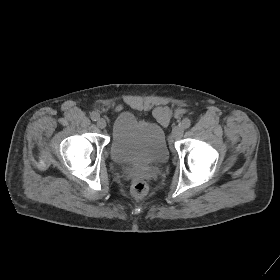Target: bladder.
<instances>
[{
    "mask_svg": "<svg viewBox=\"0 0 280 280\" xmlns=\"http://www.w3.org/2000/svg\"><path fill=\"white\" fill-rule=\"evenodd\" d=\"M109 151L112 160L118 164L156 165L169 158L163 127L139 120L131 112H121L114 119Z\"/></svg>",
    "mask_w": 280,
    "mask_h": 280,
    "instance_id": "obj_1",
    "label": "bladder"
}]
</instances>
